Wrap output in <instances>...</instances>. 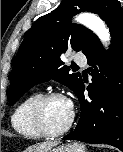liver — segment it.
Segmentation results:
<instances>
[{"instance_id": "1", "label": "liver", "mask_w": 123, "mask_h": 152, "mask_svg": "<svg viewBox=\"0 0 123 152\" xmlns=\"http://www.w3.org/2000/svg\"><path fill=\"white\" fill-rule=\"evenodd\" d=\"M56 142H42L28 147L24 152H50Z\"/></svg>"}]
</instances>
